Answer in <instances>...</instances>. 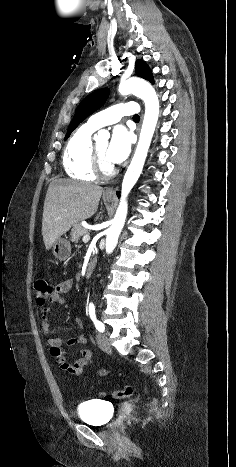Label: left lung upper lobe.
I'll return each mask as SVG.
<instances>
[{
  "mask_svg": "<svg viewBox=\"0 0 236 467\" xmlns=\"http://www.w3.org/2000/svg\"><path fill=\"white\" fill-rule=\"evenodd\" d=\"M135 72L138 77L154 83L152 72L143 60L139 59L136 61ZM108 96L109 90L107 88H103L91 93L81 101L75 112L74 118L68 127L65 140L70 136L71 132L76 129L79 123H81L87 116L94 113L106 102Z\"/></svg>",
  "mask_w": 236,
  "mask_h": 467,
  "instance_id": "5c2ea615",
  "label": "left lung upper lobe"
}]
</instances>
